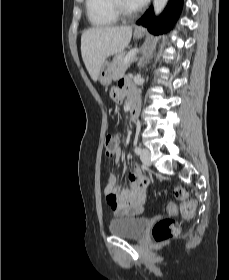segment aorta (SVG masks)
<instances>
[{"label": "aorta", "mask_w": 229, "mask_h": 280, "mask_svg": "<svg viewBox=\"0 0 229 280\" xmlns=\"http://www.w3.org/2000/svg\"><path fill=\"white\" fill-rule=\"evenodd\" d=\"M168 0H154V11L156 14L161 13Z\"/></svg>", "instance_id": "1"}]
</instances>
